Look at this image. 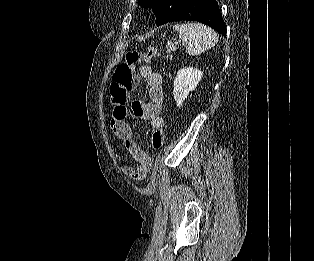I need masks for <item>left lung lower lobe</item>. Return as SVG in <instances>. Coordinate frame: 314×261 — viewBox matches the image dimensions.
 <instances>
[{"mask_svg": "<svg viewBox=\"0 0 314 261\" xmlns=\"http://www.w3.org/2000/svg\"><path fill=\"white\" fill-rule=\"evenodd\" d=\"M199 21L222 35L226 27L216 0H184L169 22Z\"/></svg>", "mask_w": 314, "mask_h": 261, "instance_id": "1", "label": "left lung lower lobe"}]
</instances>
